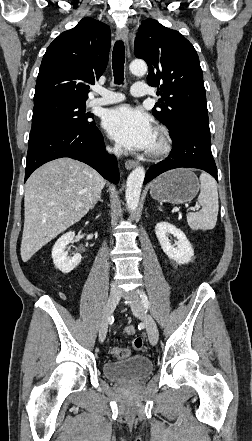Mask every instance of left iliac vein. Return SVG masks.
<instances>
[{
  "instance_id": "obj_1",
  "label": "left iliac vein",
  "mask_w": 252,
  "mask_h": 441,
  "mask_svg": "<svg viewBox=\"0 0 252 441\" xmlns=\"http://www.w3.org/2000/svg\"><path fill=\"white\" fill-rule=\"evenodd\" d=\"M131 309L135 317L141 318L144 321L150 343L155 345L158 341V328L152 316L145 312L137 291L133 293V303L131 304Z\"/></svg>"
}]
</instances>
